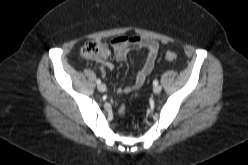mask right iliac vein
Wrapping results in <instances>:
<instances>
[{
  "label": "right iliac vein",
  "instance_id": "63e3f726",
  "mask_svg": "<svg viewBox=\"0 0 248 165\" xmlns=\"http://www.w3.org/2000/svg\"><path fill=\"white\" fill-rule=\"evenodd\" d=\"M97 88H98V90L100 92H105L106 91V86L104 84H99Z\"/></svg>",
  "mask_w": 248,
  "mask_h": 165
}]
</instances>
